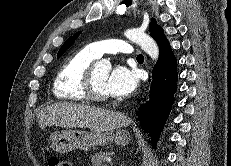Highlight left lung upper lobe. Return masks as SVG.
<instances>
[{
	"label": "left lung upper lobe",
	"mask_w": 231,
	"mask_h": 166,
	"mask_svg": "<svg viewBox=\"0 0 231 166\" xmlns=\"http://www.w3.org/2000/svg\"><path fill=\"white\" fill-rule=\"evenodd\" d=\"M162 31L163 29L158 26L155 19L152 18L149 27L150 35L155 39ZM80 33L81 32H77L76 34H74V36H71L66 40L63 46L59 49L57 58H60L66 52V50L75 42V39Z\"/></svg>",
	"instance_id": "5c2ea615"
}]
</instances>
